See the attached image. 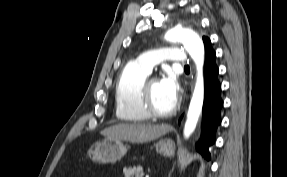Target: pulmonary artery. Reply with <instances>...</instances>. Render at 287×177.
I'll use <instances>...</instances> for the list:
<instances>
[{"instance_id":"1","label":"pulmonary artery","mask_w":287,"mask_h":177,"mask_svg":"<svg viewBox=\"0 0 287 177\" xmlns=\"http://www.w3.org/2000/svg\"><path fill=\"white\" fill-rule=\"evenodd\" d=\"M162 61H169L176 66H188L189 59L184 50L177 47H162L158 49H150L142 55L132 60L141 68L151 73L153 67Z\"/></svg>"}]
</instances>
